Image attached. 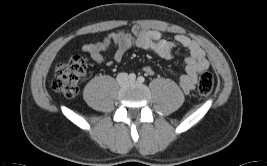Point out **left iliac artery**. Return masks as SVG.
<instances>
[{
    "mask_svg": "<svg viewBox=\"0 0 267 166\" xmlns=\"http://www.w3.org/2000/svg\"><path fill=\"white\" fill-rule=\"evenodd\" d=\"M145 81L143 76L138 77V82L139 83H143Z\"/></svg>",
    "mask_w": 267,
    "mask_h": 166,
    "instance_id": "left-iliac-artery-1",
    "label": "left iliac artery"
}]
</instances>
